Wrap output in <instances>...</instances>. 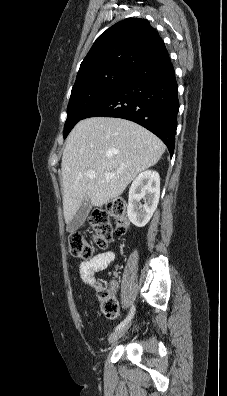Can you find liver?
<instances>
[{"instance_id": "obj_1", "label": "liver", "mask_w": 227, "mask_h": 396, "mask_svg": "<svg viewBox=\"0 0 227 396\" xmlns=\"http://www.w3.org/2000/svg\"><path fill=\"white\" fill-rule=\"evenodd\" d=\"M164 151L157 136L134 122L115 117L81 120L67 138L61 162L65 222L71 221L85 197L102 206L120 196ZM88 171L96 177L89 178ZM106 173L114 176L107 178Z\"/></svg>"}]
</instances>
